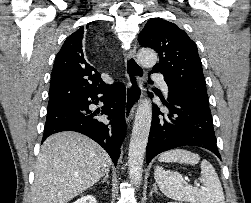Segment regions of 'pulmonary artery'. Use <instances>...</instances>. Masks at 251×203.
Listing matches in <instances>:
<instances>
[{"instance_id": "1", "label": "pulmonary artery", "mask_w": 251, "mask_h": 203, "mask_svg": "<svg viewBox=\"0 0 251 203\" xmlns=\"http://www.w3.org/2000/svg\"><path fill=\"white\" fill-rule=\"evenodd\" d=\"M151 79L156 82L157 84H159L161 86V88L167 92L168 91V86L165 82V79L163 77V75L159 74V73H153L151 74Z\"/></svg>"}]
</instances>
